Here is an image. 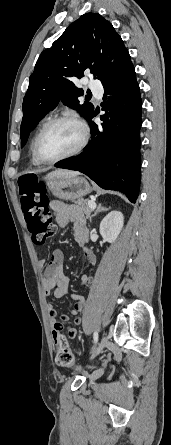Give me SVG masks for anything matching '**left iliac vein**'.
I'll list each match as a JSON object with an SVG mask.
<instances>
[{"instance_id":"left-iliac-vein-1","label":"left iliac vein","mask_w":171,"mask_h":445,"mask_svg":"<svg viewBox=\"0 0 171 445\" xmlns=\"http://www.w3.org/2000/svg\"><path fill=\"white\" fill-rule=\"evenodd\" d=\"M107 344H108V338L105 336L102 337L99 345L94 349L90 359H93L95 356L100 354Z\"/></svg>"}]
</instances>
